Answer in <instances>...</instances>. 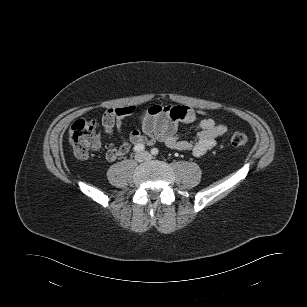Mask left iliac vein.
<instances>
[{
	"label": "left iliac vein",
	"mask_w": 307,
	"mask_h": 307,
	"mask_svg": "<svg viewBox=\"0 0 307 307\" xmlns=\"http://www.w3.org/2000/svg\"><path fill=\"white\" fill-rule=\"evenodd\" d=\"M143 154L145 155L146 160H150L152 158L151 155L147 152H144Z\"/></svg>",
	"instance_id": "4c4485c4"
}]
</instances>
